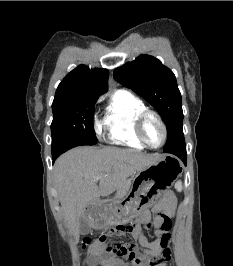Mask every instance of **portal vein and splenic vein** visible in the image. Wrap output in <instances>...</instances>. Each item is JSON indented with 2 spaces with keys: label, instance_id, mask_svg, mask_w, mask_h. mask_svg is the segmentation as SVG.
<instances>
[{
  "label": "portal vein and splenic vein",
  "instance_id": "portal-vein-and-splenic-vein-1",
  "mask_svg": "<svg viewBox=\"0 0 233 266\" xmlns=\"http://www.w3.org/2000/svg\"><path fill=\"white\" fill-rule=\"evenodd\" d=\"M96 179H100V177L98 176V177H96Z\"/></svg>",
  "mask_w": 233,
  "mask_h": 266
}]
</instances>
